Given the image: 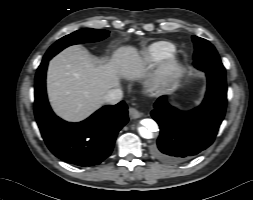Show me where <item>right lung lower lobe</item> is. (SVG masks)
<instances>
[{
    "label": "right lung lower lobe",
    "mask_w": 253,
    "mask_h": 200,
    "mask_svg": "<svg viewBox=\"0 0 253 200\" xmlns=\"http://www.w3.org/2000/svg\"><path fill=\"white\" fill-rule=\"evenodd\" d=\"M44 57L35 77V116L49 150L58 158L78 166H94L107 158L116 136L128 122L127 105L122 101L104 106L86 120L69 123L51 110L45 87L48 61Z\"/></svg>",
    "instance_id": "obj_1"
}]
</instances>
